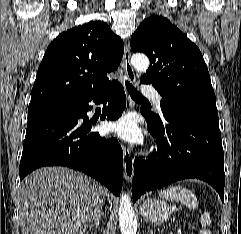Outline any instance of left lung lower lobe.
Instances as JSON below:
<instances>
[{
  "mask_svg": "<svg viewBox=\"0 0 241 234\" xmlns=\"http://www.w3.org/2000/svg\"><path fill=\"white\" fill-rule=\"evenodd\" d=\"M157 152L147 161L135 158L132 196L181 179L198 178L211 184L224 201V152L219 118L172 106L163 107L164 119L156 120L141 109Z\"/></svg>",
  "mask_w": 241,
  "mask_h": 234,
  "instance_id": "0a47b994",
  "label": "left lung lower lobe"
}]
</instances>
